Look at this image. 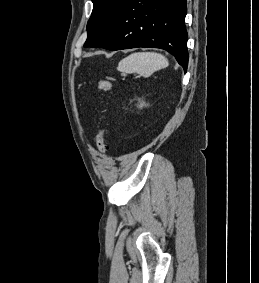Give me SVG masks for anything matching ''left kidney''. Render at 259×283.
I'll use <instances>...</instances> for the list:
<instances>
[{
  "mask_svg": "<svg viewBox=\"0 0 259 283\" xmlns=\"http://www.w3.org/2000/svg\"><path fill=\"white\" fill-rule=\"evenodd\" d=\"M144 104H141L140 107H143Z\"/></svg>",
  "mask_w": 259,
  "mask_h": 283,
  "instance_id": "1",
  "label": "left kidney"
}]
</instances>
